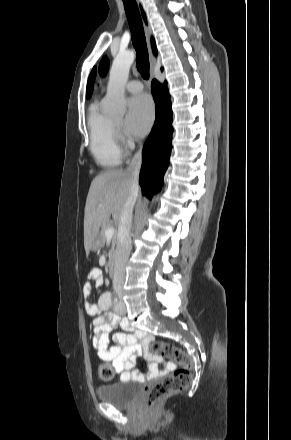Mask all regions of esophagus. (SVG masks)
Returning a JSON list of instances; mask_svg holds the SVG:
<instances>
[{
  "instance_id": "esophagus-1",
  "label": "esophagus",
  "mask_w": 291,
  "mask_h": 440,
  "mask_svg": "<svg viewBox=\"0 0 291 440\" xmlns=\"http://www.w3.org/2000/svg\"><path fill=\"white\" fill-rule=\"evenodd\" d=\"M137 6H138V10H139V13H140V16H141V19H142V23H143V27H144V30H145L146 39H147V45H148L149 52H150V58L152 60H154L153 54H152V49H151V44H150L151 27H150V23H149V20H148V15H147V12L144 9V6L142 5V3L139 2V0H137ZM150 75H151V78H153L152 69L150 71Z\"/></svg>"
}]
</instances>
